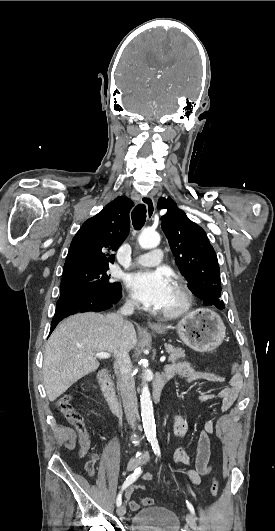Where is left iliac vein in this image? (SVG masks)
Wrapping results in <instances>:
<instances>
[{
	"mask_svg": "<svg viewBox=\"0 0 275 531\" xmlns=\"http://www.w3.org/2000/svg\"><path fill=\"white\" fill-rule=\"evenodd\" d=\"M150 459V455L149 453H145L144 455V459H143V463H147ZM186 522L188 524V526L193 530V531H198V528H197V525H196V522H195V519L193 517L192 514L190 513H187V516H186Z\"/></svg>",
	"mask_w": 275,
	"mask_h": 531,
	"instance_id": "obj_1",
	"label": "left iliac vein"
}]
</instances>
